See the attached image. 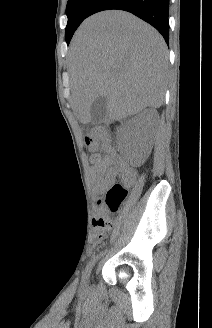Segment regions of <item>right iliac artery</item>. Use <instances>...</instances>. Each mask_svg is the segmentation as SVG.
<instances>
[{
	"mask_svg": "<svg viewBox=\"0 0 212 328\" xmlns=\"http://www.w3.org/2000/svg\"><path fill=\"white\" fill-rule=\"evenodd\" d=\"M97 259H98V255L97 256L94 255L93 258L91 259V261L88 263V265H87V267L85 269V272L83 274V277H82L83 282H85L87 280V278H88V276H89V274H90V272H91V270H92L95 262L97 261Z\"/></svg>",
	"mask_w": 212,
	"mask_h": 328,
	"instance_id": "82829eb1",
	"label": "right iliac artery"
}]
</instances>
